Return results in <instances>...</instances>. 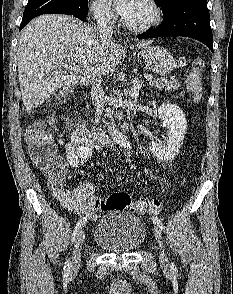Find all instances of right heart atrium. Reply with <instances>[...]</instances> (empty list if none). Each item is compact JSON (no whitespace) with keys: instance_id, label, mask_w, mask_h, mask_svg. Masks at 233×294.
I'll return each instance as SVG.
<instances>
[{"instance_id":"d8ad5b80","label":"right heart atrium","mask_w":233,"mask_h":294,"mask_svg":"<svg viewBox=\"0 0 233 294\" xmlns=\"http://www.w3.org/2000/svg\"><path fill=\"white\" fill-rule=\"evenodd\" d=\"M90 10L94 18L99 22L107 23L113 21L115 18L113 11L104 0H92Z\"/></svg>"}]
</instances>
